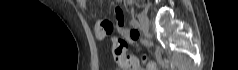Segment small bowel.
I'll return each instance as SVG.
<instances>
[{"mask_svg":"<svg viewBox=\"0 0 238 70\" xmlns=\"http://www.w3.org/2000/svg\"><path fill=\"white\" fill-rule=\"evenodd\" d=\"M79 5L82 8V10L90 17H97V12L92 9L86 0H79ZM114 16H115V25L119 28L120 30V34L121 33H130L131 31L128 29L123 28V22H124V18H123V12L122 9L119 7H116L114 10ZM122 25V26H120ZM114 24L110 21L107 20H100L95 24L94 27V32L97 38L99 39H103L104 37H106L107 35H109L112 32ZM128 46V44H127ZM127 46H126V50H127ZM114 53V50H113Z\"/></svg>","mask_w":238,"mask_h":70,"instance_id":"c3829d8e","label":"small bowel"}]
</instances>
